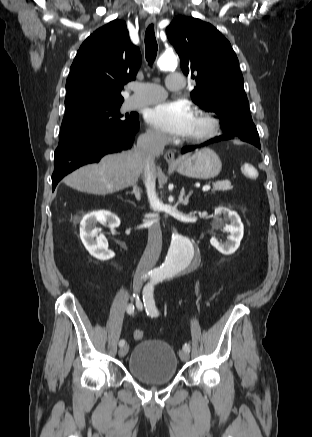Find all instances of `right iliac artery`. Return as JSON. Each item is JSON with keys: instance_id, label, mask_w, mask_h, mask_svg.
I'll use <instances>...</instances> for the list:
<instances>
[{"instance_id": "obj_1", "label": "right iliac artery", "mask_w": 312, "mask_h": 437, "mask_svg": "<svg viewBox=\"0 0 312 437\" xmlns=\"http://www.w3.org/2000/svg\"><path fill=\"white\" fill-rule=\"evenodd\" d=\"M150 276H151L150 274H145V275L143 276V279L146 280V279H148ZM134 297H135V294H134ZM136 306H137V308L140 309V310L143 308L142 302L140 301L138 295L136 296ZM127 313H128V314H133V313H134V305H133V304H129V305H128V307H127ZM124 344H125V341H124V340H121V341L119 342V345H120V346H123Z\"/></svg>"}]
</instances>
